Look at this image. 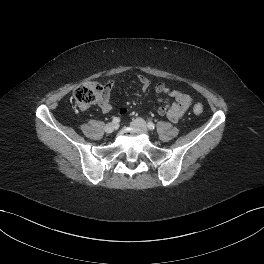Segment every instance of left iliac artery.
Returning a JSON list of instances; mask_svg holds the SVG:
<instances>
[{
  "mask_svg": "<svg viewBox=\"0 0 264 264\" xmlns=\"http://www.w3.org/2000/svg\"><path fill=\"white\" fill-rule=\"evenodd\" d=\"M147 126H148V128L150 130H154L155 129V124L153 122H148Z\"/></svg>",
  "mask_w": 264,
  "mask_h": 264,
  "instance_id": "1",
  "label": "left iliac artery"
}]
</instances>
